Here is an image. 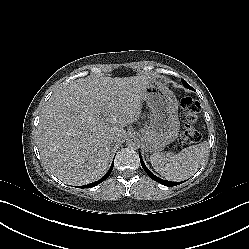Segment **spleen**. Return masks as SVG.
<instances>
[{"mask_svg":"<svg viewBox=\"0 0 249 249\" xmlns=\"http://www.w3.org/2000/svg\"><path fill=\"white\" fill-rule=\"evenodd\" d=\"M208 143L206 141L184 148L179 153H154L150 161L157 173L162 177L177 181L187 178L208 159Z\"/></svg>","mask_w":249,"mask_h":249,"instance_id":"obj_1","label":"spleen"}]
</instances>
